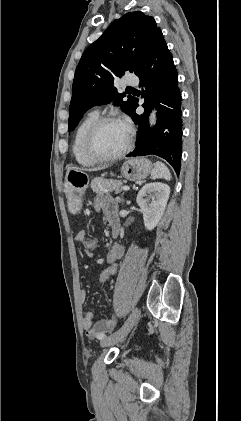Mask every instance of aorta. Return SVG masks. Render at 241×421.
<instances>
[{
    "label": "aorta",
    "mask_w": 241,
    "mask_h": 421,
    "mask_svg": "<svg viewBox=\"0 0 241 421\" xmlns=\"http://www.w3.org/2000/svg\"><path fill=\"white\" fill-rule=\"evenodd\" d=\"M156 122V116H155V111H153L150 115V125H154Z\"/></svg>",
    "instance_id": "762f6f07"
}]
</instances>
